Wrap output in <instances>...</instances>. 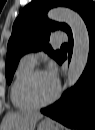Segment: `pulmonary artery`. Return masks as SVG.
<instances>
[{
	"mask_svg": "<svg viewBox=\"0 0 95 130\" xmlns=\"http://www.w3.org/2000/svg\"><path fill=\"white\" fill-rule=\"evenodd\" d=\"M66 40V34L62 31H57L54 33L53 41L54 42H64ZM22 61L27 62L31 65H35L36 56L34 53H28L22 57Z\"/></svg>",
	"mask_w": 95,
	"mask_h": 130,
	"instance_id": "pulmonary-artery-1",
	"label": "pulmonary artery"
}]
</instances>
